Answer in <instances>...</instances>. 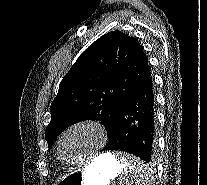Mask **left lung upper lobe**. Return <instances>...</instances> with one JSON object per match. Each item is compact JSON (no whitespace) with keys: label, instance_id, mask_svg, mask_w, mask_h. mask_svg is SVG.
<instances>
[{"label":"left lung upper lobe","instance_id":"1","mask_svg":"<svg viewBox=\"0 0 207 185\" xmlns=\"http://www.w3.org/2000/svg\"><path fill=\"white\" fill-rule=\"evenodd\" d=\"M150 75L147 57L135 38L113 31L97 39L59 85L45 131L48 146L63 130L84 120H100L109 138L120 107Z\"/></svg>","mask_w":207,"mask_h":185}]
</instances>
